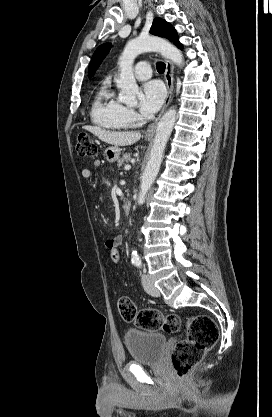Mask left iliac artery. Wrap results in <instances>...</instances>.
<instances>
[{"label":"left iliac artery","mask_w":272,"mask_h":417,"mask_svg":"<svg viewBox=\"0 0 272 417\" xmlns=\"http://www.w3.org/2000/svg\"><path fill=\"white\" fill-rule=\"evenodd\" d=\"M135 265H136V266H138V267H141V265H142V264H141V261H140V260H137V261L135 262Z\"/></svg>","instance_id":"1"}]
</instances>
